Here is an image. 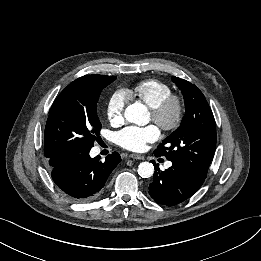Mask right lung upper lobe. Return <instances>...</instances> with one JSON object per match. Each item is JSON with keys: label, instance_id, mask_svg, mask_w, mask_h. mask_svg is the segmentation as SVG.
Returning <instances> with one entry per match:
<instances>
[{"label": "right lung upper lobe", "instance_id": "cb5924a9", "mask_svg": "<svg viewBox=\"0 0 261 261\" xmlns=\"http://www.w3.org/2000/svg\"><path fill=\"white\" fill-rule=\"evenodd\" d=\"M70 159V157H56V158H51L49 159V165L51 166V168H54L60 164H62L63 162H65L66 160Z\"/></svg>", "mask_w": 261, "mask_h": 261}]
</instances>
